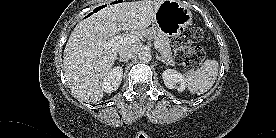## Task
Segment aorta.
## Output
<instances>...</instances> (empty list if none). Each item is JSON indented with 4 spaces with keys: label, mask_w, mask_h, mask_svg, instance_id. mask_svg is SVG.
Returning a JSON list of instances; mask_svg holds the SVG:
<instances>
[{
    "label": "aorta",
    "mask_w": 276,
    "mask_h": 138,
    "mask_svg": "<svg viewBox=\"0 0 276 138\" xmlns=\"http://www.w3.org/2000/svg\"><path fill=\"white\" fill-rule=\"evenodd\" d=\"M152 56L149 51H142L139 53V60L141 62L147 63L151 60Z\"/></svg>",
    "instance_id": "762f6f07"
}]
</instances>
